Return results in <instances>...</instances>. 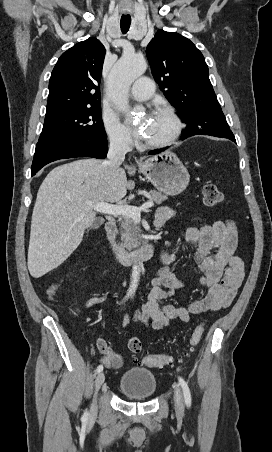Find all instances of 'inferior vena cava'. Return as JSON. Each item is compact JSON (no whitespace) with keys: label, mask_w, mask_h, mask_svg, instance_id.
<instances>
[{"label":"inferior vena cava","mask_w":272,"mask_h":452,"mask_svg":"<svg viewBox=\"0 0 272 452\" xmlns=\"http://www.w3.org/2000/svg\"><path fill=\"white\" fill-rule=\"evenodd\" d=\"M129 151L130 147L126 138L122 136H113L110 138L107 160L104 164L111 173L119 169V166L125 159L126 153Z\"/></svg>","instance_id":"1"}]
</instances>
